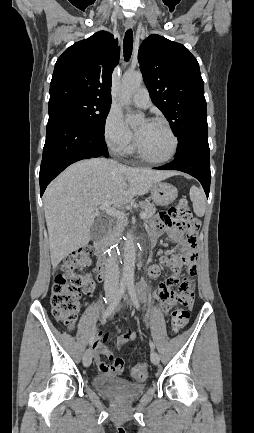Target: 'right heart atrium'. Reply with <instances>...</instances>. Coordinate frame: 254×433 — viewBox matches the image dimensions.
Masks as SVG:
<instances>
[{"instance_id": "right-heart-atrium-1", "label": "right heart atrium", "mask_w": 254, "mask_h": 433, "mask_svg": "<svg viewBox=\"0 0 254 433\" xmlns=\"http://www.w3.org/2000/svg\"><path fill=\"white\" fill-rule=\"evenodd\" d=\"M103 138L107 146L116 154L125 155L132 151L134 138L125 125L121 113L111 109L104 121Z\"/></svg>"}]
</instances>
